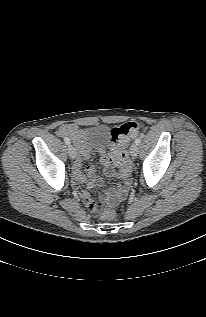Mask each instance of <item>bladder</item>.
<instances>
[{
	"label": "bladder",
	"instance_id": "31cf9c89",
	"mask_svg": "<svg viewBox=\"0 0 206 317\" xmlns=\"http://www.w3.org/2000/svg\"><path fill=\"white\" fill-rule=\"evenodd\" d=\"M112 141L111 130L107 126L98 125L83 132L82 142L86 146L104 147Z\"/></svg>",
	"mask_w": 206,
	"mask_h": 317
}]
</instances>
